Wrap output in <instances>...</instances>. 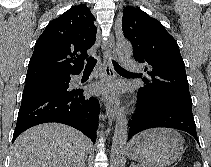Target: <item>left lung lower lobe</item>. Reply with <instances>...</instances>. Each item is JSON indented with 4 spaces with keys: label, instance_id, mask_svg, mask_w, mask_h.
Returning <instances> with one entry per match:
<instances>
[{
    "label": "left lung lower lobe",
    "instance_id": "0a47b994",
    "mask_svg": "<svg viewBox=\"0 0 211 167\" xmlns=\"http://www.w3.org/2000/svg\"><path fill=\"white\" fill-rule=\"evenodd\" d=\"M137 112L129 120V136L155 127H167L185 131L198 142L192 110L182 106L152 101L138 92Z\"/></svg>",
    "mask_w": 211,
    "mask_h": 167
}]
</instances>
